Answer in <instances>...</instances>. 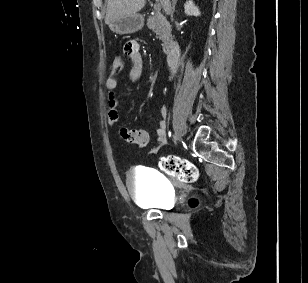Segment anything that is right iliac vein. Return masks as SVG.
Wrapping results in <instances>:
<instances>
[{"label": "right iliac vein", "instance_id": "1", "mask_svg": "<svg viewBox=\"0 0 308 283\" xmlns=\"http://www.w3.org/2000/svg\"><path fill=\"white\" fill-rule=\"evenodd\" d=\"M178 138H179V135L176 134V135H175V140H178Z\"/></svg>", "mask_w": 308, "mask_h": 283}]
</instances>
